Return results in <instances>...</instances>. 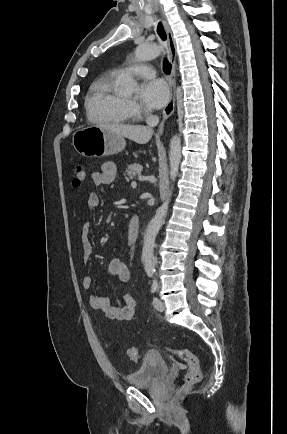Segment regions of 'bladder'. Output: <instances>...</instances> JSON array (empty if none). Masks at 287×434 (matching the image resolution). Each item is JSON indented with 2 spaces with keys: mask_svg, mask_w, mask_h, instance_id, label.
Instances as JSON below:
<instances>
[{
  "mask_svg": "<svg viewBox=\"0 0 287 434\" xmlns=\"http://www.w3.org/2000/svg\"><path fill=\"white\" fill-rule=\"evenodd\" d=\"M169 371V365L163 355L150 351L140 366L126 376V383L133 387H145L156 383Z\"/></svg>",
  "mask_w": 287,
  "mask_h": 434,
  "instance_id": "bladder-1",
  "label": "bladder"
}]
</instances>
